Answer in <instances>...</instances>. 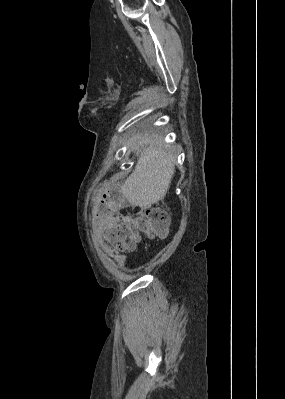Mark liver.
Returning a JSON list of instances; mask_svg holds the SVG:
<instances>
[{"mask_svg": "<svg viewBox=\"0 0 285 399\" xmlns=\"http://www.w3.org/2000/svg\"><path fill=\"white\" fill-rule=\"evenodd\" d=\"M176 157L159 142L143 149L135 169L124 181L121 191L130 204L142 209L162 200L175 173Z\"/></svg>", "mask_w": 285, "mask_h": 399, "instance_id": "obj_1", "label": "liver"}]
</instances>
